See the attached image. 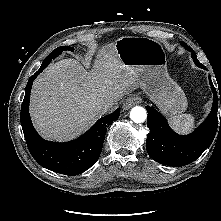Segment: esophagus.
Listing matches in <instances>:
<instances>
[{
    "label": "esophagus",
    "instance_id": "obj_1",
    "mask_svg": "<svg viewBox=\"0 0 221 221\" xmlns=\"http://www.w3.org/2000/svg\"><path fill=\"white\" fill-rule=\"evenodd\" d=\"M141 102V98L138 96H130L128 98L125 99V101L123 102V110H128L130 109L132 106L139 104Z\"/></svg>",
    "mask_w": 221,
    "mask_h": 221
}]
</instances>
